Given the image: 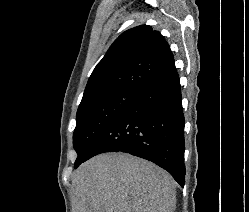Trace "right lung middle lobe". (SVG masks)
Masks as SVG:
<instances>
[{
	"label": "right lung middle lobe",
	"instance_id": "obj_1",
	"mask_svg": "<svg viewBox=\"0 0 249 212\" xmlns=\"http://www.w3.org/2000/svg\"><path fill=\"white\" fill-rule=\"evenodd\" d=\"M138 95L132 91H115L81 102L73 134V145L78 154L74 168L86 160L102 132Z\"/></svg>",
	"mask_w": 249,
	"mask_h": 212
}]
</instances>
